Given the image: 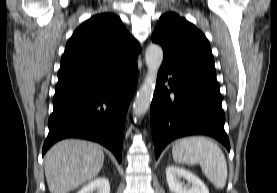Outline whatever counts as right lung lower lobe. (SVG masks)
I'll list each match as a JSON object with an SVG mask.
<instances>
[{
	"label": "right lung lower lobe",
	"mask_w": 277,
	"mask_h": 193,
	"mask_svg": "<svg viewBox=\"0 0 277 193\" xmlns=\"http://www.w3.org/2000/svg\"><path fill=\"white\" fill-rule=\"evenodd\" d=\"M138 80L137 58L90 77L56 84L42 155L57 141L98 142L121 162L127 109Z\"/></svg>",
	"instance_id": "obj_1"
}]
</instances>
